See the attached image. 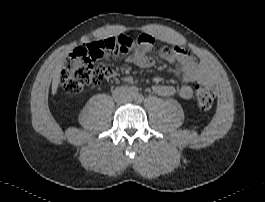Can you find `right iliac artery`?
I'll return each mask as SVG.
<instances>
[{
  "mask_svg": "<svg viewBox=\"0 0 265 202\" xmlns=\"http://www.w3.org/2000/svg\"><path fill=\"white\" fill-rule=\"evenodd\" d=\"M129 90H130V92H131L132 94H136L137 91H138V89H137L135 86L130 87Z\"/></svg>",
  "mask_w": 265,
  "mask_h": 202,
  "instance_id": "right-iliac-artery-1",
  "label": "right iliac artery"
}]
</instances>
